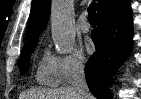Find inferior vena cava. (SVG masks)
<instances>
[{
  "label": "inferior vena cava",
  "mask_w": 141,
  "mask_h": 99,
  "mask_svg": "<svg viewBox=\"0 0 141 99\" xmlns=\"http://www.w3.org/2000/svg\"><path fill=\"white\" fill-rule=\"evenodd\" d=\"M72 87L78 91L81 99H93L86 82L84 65L82 63L75 64L73 68Z\"/></svg>",
  "instance_id": "1"
}]
</instances>
